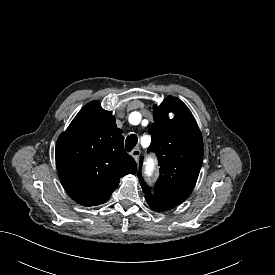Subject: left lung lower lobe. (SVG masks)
<instances>
[{"label":"left lung lower lobe","mask_w":275,"mask_h":275,"mask_svg":"<svg viewBox=\"0 0 275 275\" xmlns=\"http://www.w3.org/2000/svg\"><path fill=\"white\" fill-rule=\"evenodd\" d=\"M145 198L149 206L155 211L169 210L183 202V200L178 199L156 198L152 196H145Z\"/></svg>","instance_id":"0a47b994"}]
</instances>
